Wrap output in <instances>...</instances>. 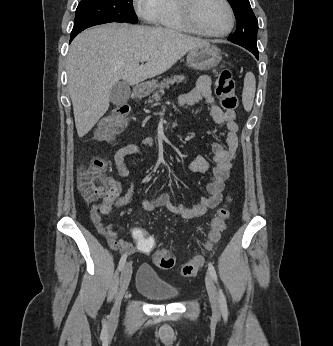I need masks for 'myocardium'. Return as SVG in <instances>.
<instances>
[{
  "instance_id": "f54148a6",
  "label": "myocardium",
  "mask_w": 333,
  "mask_h": 346,
  "mask_svg": "<svg viewBox=\"0 0 333 346\" xmlns=\"http://www.w3.org/2000/svg\"><path fill=\"white\" fill-rule=\"evenodd\" d=\"M197 1L198 0H176L177 8L182 20L192 31L202 36L211 37V38H221L231 33L235 24V14L229 0H221L227 9L228 16H229V23L225 30L218 33L207 32L198 23L195 17V5Z\"/></svg>"
}]
</instances>
